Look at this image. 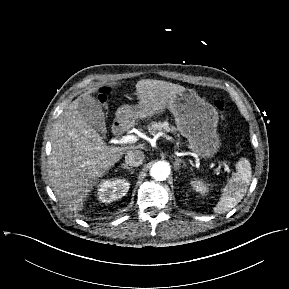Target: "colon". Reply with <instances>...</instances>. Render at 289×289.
I'll use <instances>...</instances> for the list:
<instances>
[{"instance_id": "5ec220e1", "label": "colon", "mask_w": 289, "mask_h": 289, "mask_svg": "<svg viewBox=\"0 0 289 289\" xmlns=\"http://www.w3.org/2000/svg\"><path fill=\"white\" fill-rule=\"evenodd\" d=\"M109 93L108 88H103L100 91L99 99L101 102L105 103L107 100V94ZM216 110L221 114L222 119H224L225 105L221 100H217L214 103Z\"/></svg>"}]
</instances>
